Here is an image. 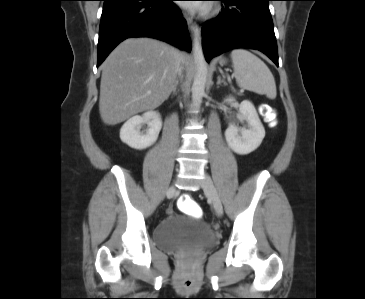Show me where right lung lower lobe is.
I'll use <instances>...</instances> for the list:
<instances>
[{
	"label": "right lung lower lobe",
	"mask_w": 365,
	"mask_h": 299,
	"mask_svg": "<svg viewBox=\"0 0 365 299\" xmlns=\"http://www.w3.org/2000/svg\"><path fill=\"white\" fill-rule=\"evenodd\" d=\"M97 67L123 40L151 37L191 51V40L173 0H103Z\"/></svg>",
	"instance_id": "98d812e1"
}]
</instances>
